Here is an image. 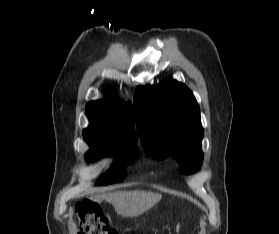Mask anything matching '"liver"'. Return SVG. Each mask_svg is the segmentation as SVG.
I'll list each match as a JSON object with an SVG mask.
<instances>
[{"instance_id": "1", "label": "liver", "mask_w": 279, "mask_h": 234, "mask_svg": "<svg viewBox=\"0 0 279 234\" xmlns=\"http://www.w3.org/2000/svg\"><path fill=\"white\" fill-rule=\"evenodd\" d=\"M162 196L146 191H120L94 197L96 202L104 199L111 203L116 213L123 217H137L152 208L161 200Z\"/></svg>"}]
</instances>
